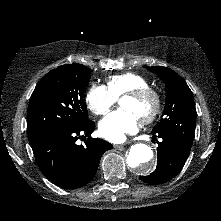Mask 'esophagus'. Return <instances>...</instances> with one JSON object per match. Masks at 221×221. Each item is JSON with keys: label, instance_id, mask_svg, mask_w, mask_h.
Instances as JSON below:
<instances>
[{"label": "esophagus", "instance_id": "obj_1", "mask_svg": "<svg viewBox=\"0 0 221 221\" xmlns=\"http://www.w3.org/2000/svg\"><path fill=\"white\" fill-rule=\"evenodd\" d=\"M128 143H123V144H116V145H114V147L116 148V149H122L124 146H126Z\"/></svg>", "mask_w": 221, "mask_h": 221}]
</instances>
